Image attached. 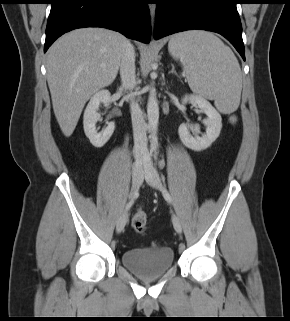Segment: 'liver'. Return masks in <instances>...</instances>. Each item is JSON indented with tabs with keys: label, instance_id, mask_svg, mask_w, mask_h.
<instances>
[{
	"label": "liver",
	"instance_id": "liver-1",
	"mask_svg": "<svg viewBox=\"0 0 290 321\" xmlns=\"http://www.w3.org/2000/svg\"><path fill=\"white\" fill-rule=\"evenodd\" d=\"M127 39L104 28H81L61 36L47 52V82L55 117L72 135L86 102L117 76Z\"/></svg>",
	"mask_w": 290,
	"mask_h": 321
}]
</instances>
